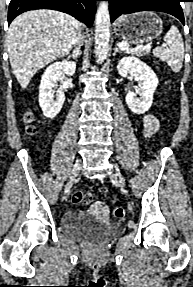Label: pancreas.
I'll return each mask as SVG.
<instances>
[{
  "label": "pancreas",
  "mask_w": 193,
  "mask_h": 287,
  "mask_svg": "<svg viewBox=\"0 0 193 287\" xmlns=\"http://www.w3.org/2000/svg\"><path fill=\"white\" fill-rule=\"evenodd\" d=\"M124 44H126L129 47L128 43H124ZM131 53L135 54V55H137L139 57H142V56L148 55L149 54V50L148 49H138V50H134Z\"/></svg>",
  "instance_id": "pancreas-1"
}]
</instances>
